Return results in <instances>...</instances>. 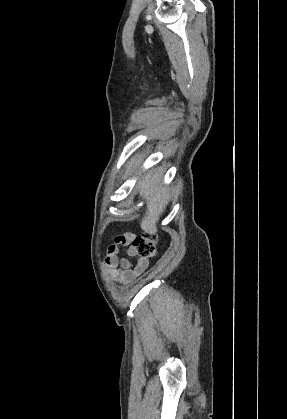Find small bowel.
Listing matches in <instances>:
<instances>
[{"mask_svg": "<svg viewBox=\"0 0 287 419\" xmlns=\"http://www.w3.org/2000/svg\"><path fill=\"white\" fill-rule=\"evenodd\" d=\"M133 234L120 233L114 235L113 243L108 246L104 257V265L111 273L113 278L120 283L129 284L145 269L146 261L137 260L134 264L131 258H135L136 254L131 248ZM122 246L127 247V256L120 258V250Z\"/></svg>", "mask_w": 287, "mask_h": 419, "instance_id": "1", "label": "small bowel"}]
</instances>
